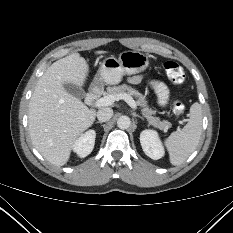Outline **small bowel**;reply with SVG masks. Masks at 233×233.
I'll list each match as a JSON object with an SVG mask.
<instances>
[{
    "instance_id": "c3829d8e",
    "label": "small bowel",
    "mask_w": 233,
    "mask_h": 233,
    "mask_svg": "<svg viewBox=\"0 0 233 233\" xmlns=\"http://www.w3.org/2000/svg\"><path fill=\"white\" fill-rule=\"evenodd\" d=\"M142 76L140 75H134L129 78V82L132 84H139L141 82ZM151 87L156 92L159 103L161 106H166L169 98H170V91L167 85L161 81L158 80H152L150 82Z\"/></svg>"
}]
</instances>
